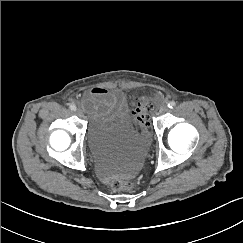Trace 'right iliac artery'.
<instances>
[{"instance_id": "82829eb1", "label": "right iliac artery", "mask_w": 243, "mask_h": 243, "mask_svg": "<svg viewBox=\"0 0 243 243\" xmlns=\"http://www.w3.org/2000/svg\"><path fill=\"white\" fill-rule=\"evenodd\" d=\"M70 109L73 110V111H75L76 110V106L74 104H71L70 105Z\"/></svg>"}]
</instances>
